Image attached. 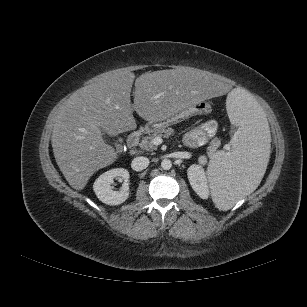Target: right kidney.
<instances>
[{"mask_svg":"<svg viewBox=\"0 0 307 307\" xmlns=\"http://www.w3.org/2000/svg\"><path fill=\"white\" fill-rule=\"evenodd\" d=\"M115 177L124 180L119 191L110 185ZM129 172L124 168H114L101 174L94 182L93 190L98 199L107 205H120L129 197Z\"/></svg>","mask_w":307,"mask_h":307,"instance_id":"right-kidney-1","label":"right kidney"}]
</instances>
